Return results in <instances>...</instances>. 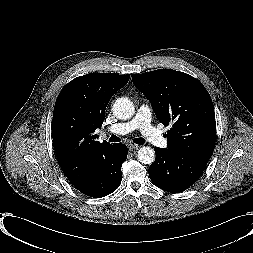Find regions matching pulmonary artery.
Masks as SVG:
<instances>
[{
	"label": "pulmonary artery",
	"mask_w": 253,
	"mask_h": 253,
	"mask_svg": "<svg viewBox=\"0 0 253 253\" xmlns=\"http://www.w3.org/2000/svg\"><path fill=\"white\" fill-rule=\"evenodd\" d=\"M135 129H140L146 141L154 146L166 148L168 146L167 139L157 130L150 120V110L145 104H142L136 111L135 116L126 122L112 125L108 131L114 134H127Z\"/></svg>",
	"instance_id": "1"
}]
</instances>
